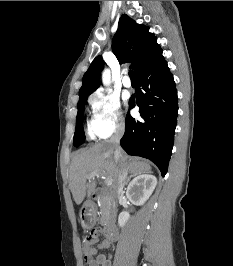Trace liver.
Masks as SVG:
<instances>
[{
	"instance_id": "liver-1",
	"label": "liver",
	"mask_w": 233,
	"mask_h": 266,
	"mask_svg": "<svg viewBox=\"0 0 233 266\" xmlns=\"http://www.w3.org/2000/svg\"><path fill=\"white\" fill-rule=\"evenodd\" d=\"M114 150L110 142H102L74 155L70 166L69 188L76 204L82 203L86 195L89 196L96 188V178L88 179L90 174L97 173L111 178L113 187L116 188L122 166H125L127 173L133 176L151 171L150 165L145 160L129 157L123 151L122 160L117 161Z\"/></svg>"
}]
</instances>
